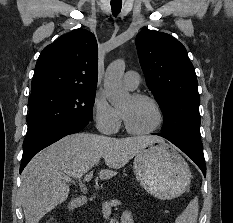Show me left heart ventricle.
Returning a JSON list of instances; mask_svg holds the SVG:
<instances>
[{"mask_svg": "<svg viewBox=\"0 0 233 223\" xmlns=\"http://www.w3.org/2000/svg\"><path fill=\"white\" fill-rule=\"evenodd\" d=\"M129 126L137 132H146L158 124V113L152 103L146 100L128 98L120 107Z\"/></svg>", "mask_w": 233, "mask_h": 223, "instance_id": "b2bd125f", "label": "left heart ventricle"}]
</instances>
